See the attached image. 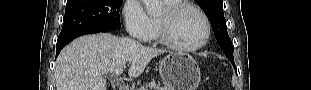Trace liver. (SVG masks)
Segmentation results:
<instances>
[{
  "instance_id": "1",
  "label": "liver",
  "mask_w": 311,
  "mask_h": 90,
  "mask_svg": "<svg viewBox=\"0 0 311 90\" xmlns=\"http://www.w3.org/2000/svg\"><path fill=\"white\" fill-rule=\"evenodd\" d=\"M166 50L143 46L132 38L109 33L75 39L59 54L55 65L57 90H106V77L131 64L128 75L140 76L147 64Z\"/></svg>"
}]
</instances>
